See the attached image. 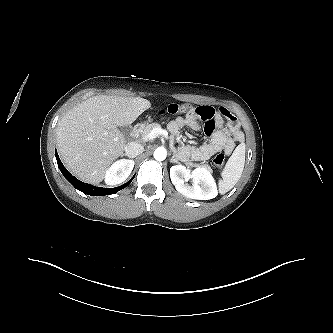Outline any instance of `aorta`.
Listing matches in <instances>:
<instances>
[{"mask_svg":"<svg viewBox=\"0 0 333 333\" xmlns=\"http://www.w3.org/2000/svg\"><path fill=\"white\" fill-rule=\"evenodd\" d=\"M167 156V151L164 147H158L155 151H154V158L157 161H163L166 159Z\"/></svg>","mask_w":333,"mask_h":333,"instance_id":"obj_1","label":"aorta"}]
</instances>
